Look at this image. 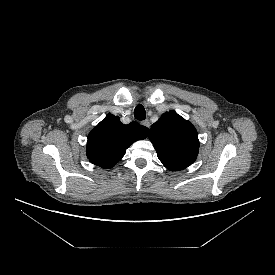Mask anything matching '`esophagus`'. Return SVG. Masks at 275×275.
I'll return each mask as SVG.
<instances>
[{
  "label": "esophagus",
  "mask_w": 275,
  "mask_h": 275,
  "mask_svg": "<svg viewBox=\"0 0 275 275\" xmlns=\"http://www.w3.org/2000/svg\"><path fill=\"white\" fill-rule=\"evenodd\" d=\"M141 124L143 126L147 127V128H150V122H149V120H144Z\"/></svg>",
  "instance_id": "1"
}]
</instances>
